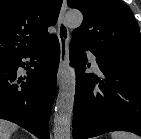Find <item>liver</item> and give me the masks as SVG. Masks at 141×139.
<instances>
[{
	"label": "liver",
	"mask_w": 141,
	"mask_h": 139,
	"mask_svg": "<svg viewBox=\"0 0 141 139\" xmlns=\"http://www.w3.org/2000/svg\"><path fill=\"white\" fill-rule=\"evenodd\" d=\"M18 126L7 120L0 119V139H10L11 134Z\"/></svg>",
	"instance_id": "liver-1"
}]
</instances>
